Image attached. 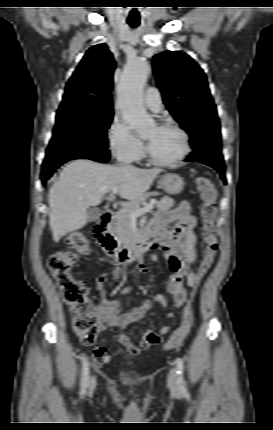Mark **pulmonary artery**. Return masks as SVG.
<instances>
[{
    "mask_svg": "<svg viewBox=\"0 0 273 430\" xmlns=\"http://www.w3.org/2000/svg\"><path fill=\"white\" fill-rule=\"evenodd\" d=\"M145 105L152 112H160L162 100L159 90L156 87H149L145 93Z\"/></svg>",
    "mask_w": 273,
    "mask_h": 430,
    "instance_id": "obj_1",
    "label": "pulmonary artery"
}]
</instances>
